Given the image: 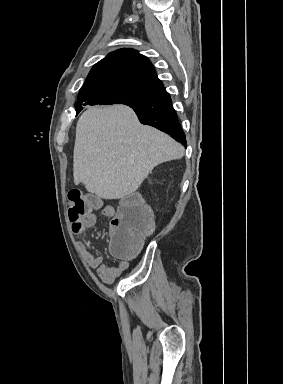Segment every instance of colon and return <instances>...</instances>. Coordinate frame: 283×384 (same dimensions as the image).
Returning a JSON list of instances; mask_svg holds the SVG:
<instances>
[{
	"label": "colon",
	"mask_w": 283,
	"mask_h": 384,
	"mask_svg": "<svg viewBox=\"0 0 283 384\" xmlns=\"http://www.w3.org/2000/svg\"><path fill=\"white\" fill-rule=\"evenodd\" d=\"M69 220L73 226H80L84 216L101 205L93 195H83L74 189L68 193ZM154 228L150 209L142 198L130 194L121 200L116 215L110 223V250L122 260H129L139 252L144 236Z\"/></svg>",
	"instance_id": "5ec220e1"
}]
</instances>
